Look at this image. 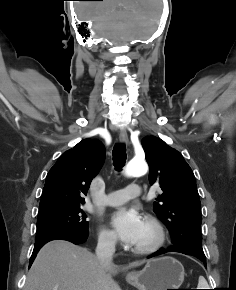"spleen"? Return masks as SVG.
Instances as JSON below:
<instances>
[{
    "label": "spleen",
    "mask_w": 236,
    "mask_h": 290,
    "mask_svg": "<svg viewBox=\"0 0 236 290\" xmlns=\"http://www.w3.org/2000/svg\"><path fill=\"white\" fill-rule=\"evenodd\" d=\"M207 286L208 284L205 278L203 276H200L198 281V289H207Z\"/></svg>",
    "instance_id": "1"
}]
</instances>
